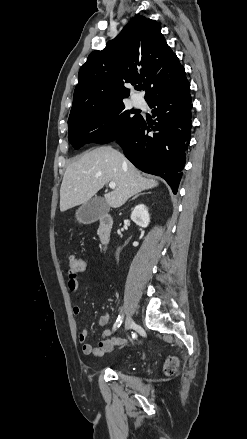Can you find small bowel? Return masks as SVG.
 I'll list each match as a JSON object with an SVG mask.
<instances>
[{"label":"small bowel","instance_id":"small-bowel-1","mask_svg":"<svg viewBox=\"0 0 247 439\" xmlns=\"http://www.w3.org/2000/svg\"><path fill=\"white\" fill-rule=\"evenodd\" d=\"M68 288L69 290L75 292L79 288V281H78V273L73 272L69 270L68 272ZM72 312L74 316H80L82 309L80 306H74L72 308ZM109 314L104 313L102 316H100L98 320V326L102 327L106 325L109 321ZM89 336V329L87 327H83L79 334L78 339L80 343L82 344V351L86 355H93L96 357H102L106 353L112 350V348L117 344H122L123 341L119 340L117 338L112 337V332L109 329H105L102 332V338L103 340L97 345L92 346L91 344L87 343L86 340Z\"/></svg>","mask_w":247,"mask_h":439}]
</instances>
